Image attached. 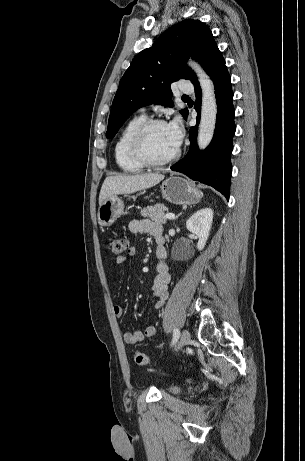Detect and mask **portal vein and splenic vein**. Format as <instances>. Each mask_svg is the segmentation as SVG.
I'll list each match as a JSON object with an SVG mask.
<instances>
[{
	"mask_svg": "<svg viewBox=\"0 0 305 461\" xmlns=\"http://www.w3.org/2000/svg\"><path fill=\"white\" fill-rule=\"evenodd\" d=\"M165 217H166L167 219H175V214L167 213V214L165 215Z\"/></svg>",
	"mask_w": 305,
	"mask_h": 461,
	"instance_id": "1",
	"label": "portal vein and splenic vein"
}]
</instances>
